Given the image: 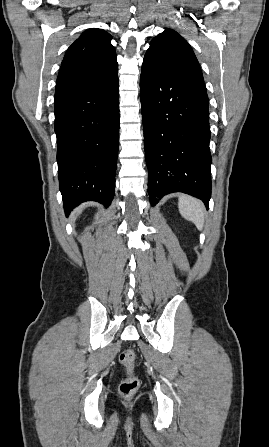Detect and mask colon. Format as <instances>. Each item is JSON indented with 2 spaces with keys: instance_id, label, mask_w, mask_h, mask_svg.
Wrapping results in <instances>:
<instances>
[{
  "instance_id": "1",
  "label": "colon",
  "mask_w": 269,
  "mask_h": 447,
  "mask_svg": "<svg viewBox=\"0 0 269 447\" xmlns=\"http://www.w3.org/2000/svg\"><path fill=\"white\" fill-rule=\"evenodd\" d=\"M119 359L126 369L125 377L119 385V393L123 397H131L141 386V379L135 374L136 354L131 349H125L120 353Z\"/></svg>"
}]
</instances>
